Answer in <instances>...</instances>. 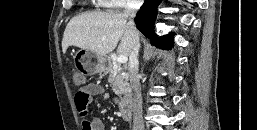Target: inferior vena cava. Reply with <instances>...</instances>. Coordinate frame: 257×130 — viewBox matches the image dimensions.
Segmentation results:
<instances>
[{
    "instance_id": "obj_1",
    "label": "inferior vena cava",
    "mask_w": 257,
    "mask_h": 130,
    "mask_svg": "<svg viewBox=\"0 0 257 130\" xmlns=\"http://www.w3.org/2000/svg\"><path fill=\"white\" fill-rule=\"evenodd\" d=\"M139 8V0H133L124 12L123 16L129 19L127 25L132 36V51L129 55V77L130 85L133 90L132 111H133V130H144L143 117H142V98L141 89L138 77V53H139V32L135 26L134 18Z\"/></svg>"
}]
</instances>
